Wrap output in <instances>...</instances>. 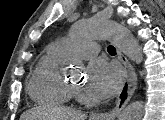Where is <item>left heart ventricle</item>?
Segmentation results:
<instances>
[{
    "label": "left heart ventricle",
    "instance_id": "1",
    "mask_svg": "<svg viewBox=\"0 0 165 120\" xmlns=\"http://www.w3.org/2000/svg\"><path fill=\"white\" fill-rule=\"evenodd\" d=\"M73 85H75V86H82L83 85V81H80L79 79L78 80H76L74 83H73Z\"/></svg>",
    "mask_w": 165,
    "mask_h": 120
}]
</instances>
